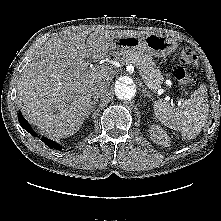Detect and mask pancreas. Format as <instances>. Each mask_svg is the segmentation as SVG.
<instances>
[{
	"instance_id": "cf45deb5",
	"label": "pancreas",
	"mask_w": 221,
	"mask_h": 221,
	"mask_svg": "<svg viewBox=\"0 0 221 221\" xmlns=\"http://www.w3.org/2000/svg\"><path fill=\"white\" fill-rule=\"evenodd\" d=\"M116 59L121 63H130L136 66L145 84L153 91L157 90L164 78L156 68L150 57L143 53L119 52Z\"/></svg>"
}]
</instances>
